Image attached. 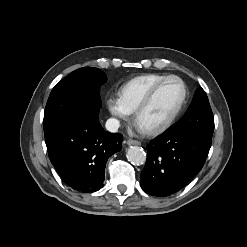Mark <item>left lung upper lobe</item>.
Segmentation results:
<instances>
[{"label": "left lung upper lobe", "mask_w": 247, "mask_h": 247, "mask_svg": "<svg viewBox=\"0 0 247 247\" xmlns=\"http://www.w3.org/2000/svg\"><path fill=\"white\" fill-rule=\"evenodd\" d=\"M172 127L182 133L213 135L214 117L207 95L202 88L196 90L186 114Z\"/></svg>", "instance_id": "left-lung-upper-lobe-1"}]
</instances>
